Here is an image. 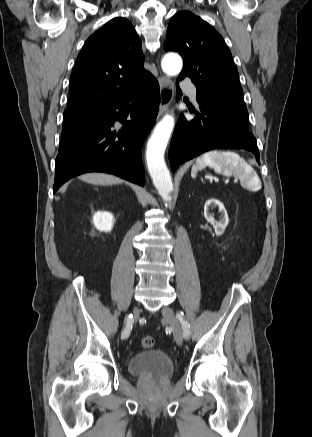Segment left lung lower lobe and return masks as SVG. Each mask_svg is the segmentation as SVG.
Wrapping results in <instances>:
<instances>
[{"label": "left lung lower lobe", "instance_id": "0a47b994", "mask_svg": "<svg viewBox=\"0 0 312 437\" xmlns=\"http://www.w3.org/2000/svg\"><path fill=\"white\" fill-rule=\"evenodd\" d=\"M198 103L201 112L195 111L194 119L181 115L176 124L169 149L173 171L181 163L214 148L245 149L255 154L260 162L256 139L249 131L225 110L212 104Z\"/></svg>", "mask_w": 312, "mask_h": 437}]
</instances>
